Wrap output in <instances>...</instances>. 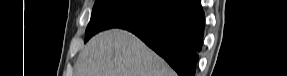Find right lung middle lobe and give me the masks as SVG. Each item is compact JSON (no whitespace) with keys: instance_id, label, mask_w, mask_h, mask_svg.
I'll return each instance as SVG.
<instances>
[{"instance_id":"right-lung-middle-lobe-1","label":"right lung middle lobe","mask_w":287,"mask_h":76,"mask_svg":"<svg viewBox=\"0 0 287 76\" xmlns=\"http://www.w3.org/2000/svg\"><path fill=\"white\" fill-rule=\"evenodd\" d=\"M172 0H96L85 42L95 34L111 29L140 27L160 13Z\"/></svg>"}]
</instances>
